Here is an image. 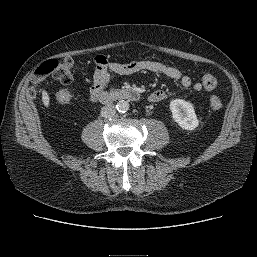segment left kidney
<instances>
[{"mask_svg":"<svg viewBox=\"0 0 257 257\" xmlns=\"http://www.w3.org/2000/svg\"><path fill=\"white\" fill-rule=\"evenodd\" d=\"M170 110L173 120L185 130H194L198 127L199 121L191 103L175 99L170 102Z\"/></svg>","mask_w":257,"mask_h":257,"instance_id":"5707ae66","label":"left kidney"}]
</instances>
